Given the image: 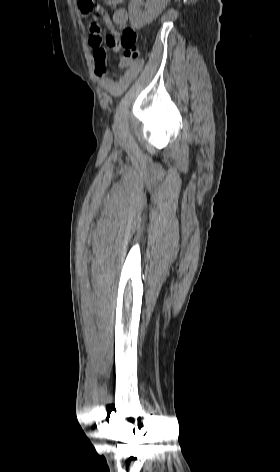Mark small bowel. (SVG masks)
<instances>
[{"instance_id": "obj_1", "label": "small bowel", "mask_w": 280, "mask_h": 472, "mask_svg": "<svg viewBox=\"0 0 280 472\" xmlns=\"http://www.w3.org/2000/svg\"><path fill=\"white\" fill-rule=\"evenodd\" d=\"M88 0H78V7L83 15H88L94 9L96 14L102 20L109 31V34L103 36L98 23L93 22L90 27L88 42L93 50L94 71L98 78L99 87L107 91L113 97H119L130 86L141 72L144 62L139 58H127L125 56L119 59V69L121 73L115 77L106 75L107 50L119 52L120 33L118 29H125L128 22V12L125 8H116L115 6L122 0H103L113 7L108 14L102 7H95L92 10L86 8L85 3Z\"/></svg>"}]
</instances>
